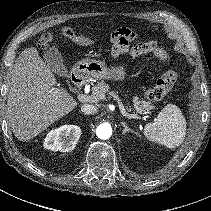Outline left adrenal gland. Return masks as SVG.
Masks as SVG:
<instances>
[{
	"instance_id": "left-adrenal-gland-1",
	"label": "left adrenal gland",
	"mask_w": 211,
	"mask_h": 211,
	"mask_svg": "<svg viewBox=\"0 0 211 211\" xmlns=\"http://www.w3.org/2000/svg\"><path fill=\"white\" fill-rule=\"evenodd\" d=\"M122 126L124 127L123 134H126L127 132L136 133L134 130L130 129L125 122H121Z\"/></svg>"
}]
</instances>
